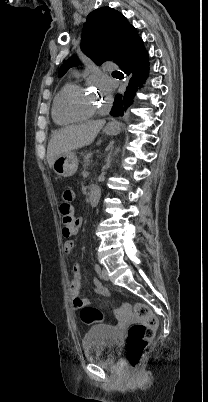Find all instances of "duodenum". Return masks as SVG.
Segmentation results:
<instances>
[{
    "mask_svg": "<svg viewBox=\"0 0 208 402\" xmlns=\"http://www.w3.org/2000/svg\"><path fill=\"white\" fill-rule=\"evenodd\" d=\"M100 197V190L98 187L94 186L90 189L89 192V201L92 206L97 205Z\"/></svg>",
    "mask_w": 208,
    "mask_h": 402,
    "instance_id": "obj_1",
    "label": "duodenum"
}]
</instances>
